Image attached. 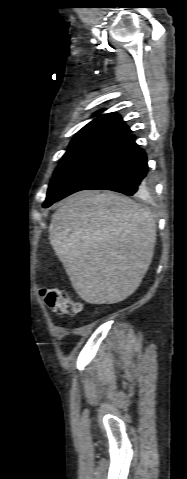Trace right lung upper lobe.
Masks as SVG:
<instances>
[{"instance_id": "right-lung-upper-lobe-1", "label": "right lung upper lobe", "mask_w": 187, "mask_h": 479, "mask_svg": "<svg viewBox=\"0 0 187 479\" xmlns=\"http://www.w3.org/2000/svg\"><path fill=\"white\" fill-rule=\"evenodd\" d=\"M88 127H104L125 132L127 134L131 132L129 127L123 122L122 118L116 113H108L98 116L83 128Z\"/></svg>"}]
</instances>
